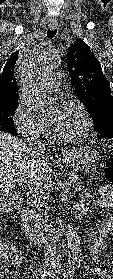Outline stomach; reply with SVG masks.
Wrapping results in <instances>:
<instances>
[{
  "mask_svg": "<svg viewBox=\"0 0 113 279\" xmlns=\"http://www.w3.org/2000/svg\"><path fill=\"white\" fill-rule=\"evenodd\" d=\"M99 151L89 145L74 147L64 156V162L73 171L88 170L96 167L100 160Z\"/></svg>",
  "mask_w": 113,
  "mask_h": 279,
  "instance_id": "1",
  "label": "stomach"
}]
</instances>
